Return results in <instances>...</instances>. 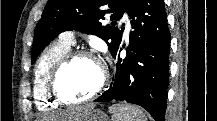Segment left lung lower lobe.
I'll return each mask as SVG.
<instances>
[{"mask_svg":"<svg viewBox=\"0 0 217 121\" xmlns=\"http://www.w3.org/2000/svg\"><path fill=\"white\" fill-rule=\"evenodd\" d=\"M128 14L134 31L127 55L121 41L110 88L96 102L121 101L140 105L156 121H164L169 84L170 31L164 0H133Z\"/></svg>","mask_w":217,"mask_h":121,"instance_id":"0a47b994","label":"left lung lower lobe"}]
</instances>
